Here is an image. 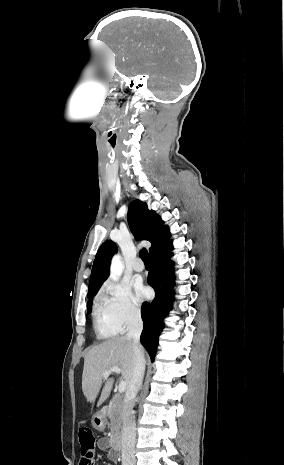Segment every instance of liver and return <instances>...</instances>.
<instances>
[{"label": "liver", "mask_w": 284, "mask_h": 465, "mask_svg": "<svg viewBox=\"0 0 284 465\" xmlns=\"http://www.w3.org/2000/svg\"><path fill=\"white\" fill-rule=\"evenodd\" d=\"M134 343L127 337H112L96 347H92L85 355L82 375V391L89 403H94L102 385L101 397L97 403L102 405L108 399L114 385V377H103L107 369L119 367L122 377L129 385L133 373Z\"/></svg>", "instance_id": "6515ba94"}]
</instances>
